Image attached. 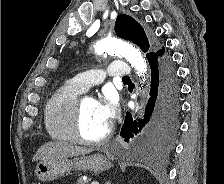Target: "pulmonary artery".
<instances>
[{"label": "pulmonary artery", "mask_w": 224, "mask_h": 184, "mask_svg": "<svg viewBox=\"0 0 224 184\" xmlns=\"http://www.w3.org/2000/svg\"><path fill=\"white\" fill-rule=\"evenodd\" d=\"M132 71L130 67L123 61L112 62L107 69L89 70L77 74L71 79V82L81 91L100 84L106 75L110 77H130Z\"/></svg>", "instance_id": "pulmonary-artery-1"}]
</instances>
